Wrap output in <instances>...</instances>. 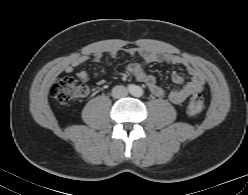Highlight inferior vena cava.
<instances>
[{"label": "inferior vena cava", "instance_id": "inferior-vena-cava-1", "mask_svg": "<svg viewBox=\"0 0 248 195\" xmlns=\"http://www.w3.org/2000/svg\"><path fill=\"white\" fill-rule=\"evenodd\" d=\"M127 95H128V90L122 85L115 86L112 89V96L115 99L126 97Z\"/></svg>", "mask_w": 248, "mask_h": 195}]
</instances>
